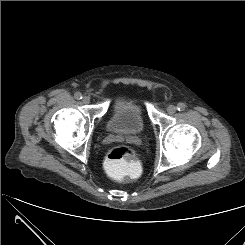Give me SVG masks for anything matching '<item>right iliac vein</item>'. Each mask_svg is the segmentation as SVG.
Returning <instances> with one entry per match:
<instances>
[{
	"mask_svg": "<svg viewBox=\"0 0 245 245\" xmlns=\"http://www.w3.org/2000/svg\"><path fill=\"white\" fill-rule=\"evenodd\" d=\"M84 104H89L90 103V98L88 96L83 97L82 99Z\"/></svg>",
	"mask_w": 245,
	"mask_h": 245,
	"instance_id": "63e3f726",
	"label": "right iliac vein"
}]
</instances>
